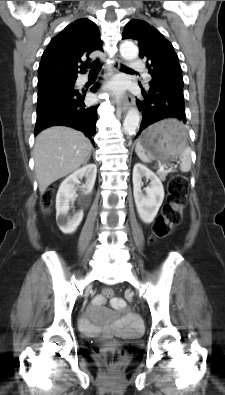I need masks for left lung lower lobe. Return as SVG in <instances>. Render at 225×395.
I'll return each instance as SVG.
<instances>
[{"instance_id": "0a47b994", "label": "left lung lower lobe", "mask_w": 225, "mask_h": 395, "mask_svg": "<svg viewBox=\"0 0 225 395\" xmlns=\"http://www.w3.org/2000/svg\"><path fill=\"white\" fill-rule=\"evenodd\" d=\"M144 101L137 100L142 111V123L137 136L143 129L165 118H176L182 127L186 122L183 88L178 86L150 87L142 91Z\"/></svg>"}]
</instances>
